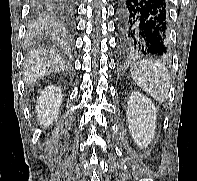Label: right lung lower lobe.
<instances>
[{
  "label": "right lung lower lobe",
  "mask_w": 197,
  "mask_h": 181,
  "mask_svg": "<svg viewBox=\"0 0 197 181\" xmlns=\"http://www.w3.org/2000/svg\"><path fill=\"white\" fill-rule=\"evenodd\" d=\"M37 21L58 29L71 30L75 18V0H35Z\"/></svg>",
  "instance_id": "obj_1"
}]
</instances>
